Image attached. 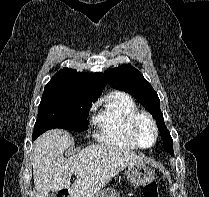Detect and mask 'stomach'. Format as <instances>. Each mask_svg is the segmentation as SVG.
<instances>
[{"label":"stomach","mask_w":209,"mask_h":197,"mask_svg":"<svg viewBox=\"0 0 209 197\" xmlns=\"http://www.w3.org/2000/svg\"><path fill=\"white\" fill-rule=\"evenodd\" d=\"M127 178L132 186H145L155 179V170L146 160L138 161L128 166ZM132 195V194H130ZM92 197H120L118 192L112 188L100 190Z\"/></svg>","instance_id":"stomach-1"}]
</instances>
